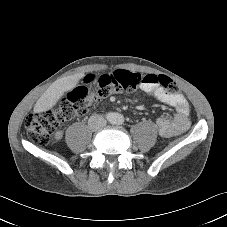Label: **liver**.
I'll return each mask as SVG.
<instances>
[{
    "label": "liver",
    "instance_id": "liver-1",
    "mask_svg": "<svg viewBox=\"0 0 227 227\" xmlns=\"http://www.w3.org/2000/svg\"><path fill=\"white\" fill-rule=\"evenodd\" d=\"M84 77V73L57 79L41 95L34 106L35 113H42L54 107L65 92L72 90Z\"/></svg>",
    "mask_w": 227,
    "mask_h": 227
}]
</instances>
